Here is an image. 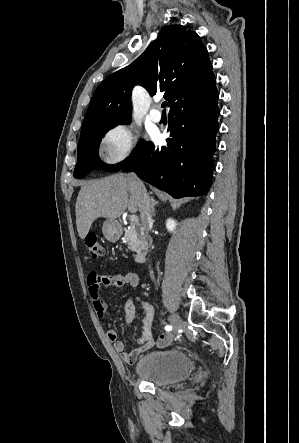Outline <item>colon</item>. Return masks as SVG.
Returning <instances> with one entry per match:
<instances>
[{
    "label": "colon",
    "instance_id": "obj_1",
    "mask_svg": "<svg viewBox=\"0 0 299 443\" xmlns=\"http://www.w3.org/2000/svg\"><path fill=\"white\" fill-rule=\"evenodd\" d=\"M86 248L93 258L101 257L104 254V249L101 246L98 236L95 233H88L85 237Z\"/></svg>",
    "mask_w": 299,
    "mask_h": 443
}]
</instances>
